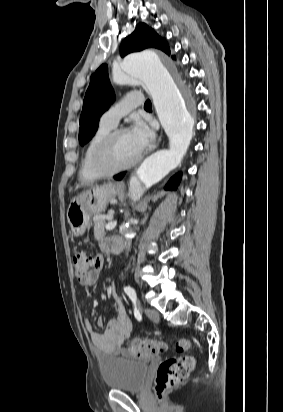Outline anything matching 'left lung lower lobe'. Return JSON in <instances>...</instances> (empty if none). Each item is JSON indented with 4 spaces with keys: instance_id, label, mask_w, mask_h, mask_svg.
Here are the masks:
<instances>
[{
    "instance_id": "1",
    "label": "left lung lower lobe",
    "mask_w": 283,
    "mask_h": 412,
    "mask_svg": "<svg viewBox=\"0 0 283 412\" xmlns=\"http://www.w3.org/2000/svg\"><path fill=\"white\" fill-rule=\"evenodd\" d=\"M123 176H124V173H120L118 175H115L114 179L121 180ZM180 179H181V173H178V174L174 175L170 179V181L167 183V185L165 186V189H167V190H176L177 186L180 182Z\"/></svg>"
}]
</instances>
